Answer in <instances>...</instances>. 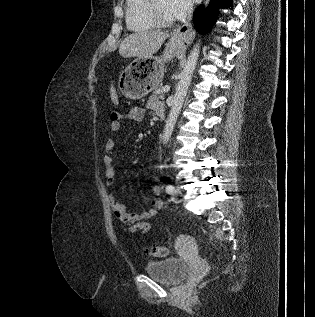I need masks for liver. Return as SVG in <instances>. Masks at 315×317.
I'll list each match as a JSON object with an SVG mask.
<instances>
[{"instance_id": "6515ba94", "label": "liver", "mask_w": 315, "mask_h": 317, "mask_svg": "<svg viewBox=\"0 0 315 317\" xmlns=\"http://www.w3.org/2000/svg\"><path fill=\"white\" fill-rule=\"evenodd\" d=\"M168 37V33L161 31H144L130 34L120 43L119 54L124 58L152 57Z\"/></svg>"}]
</instances>
